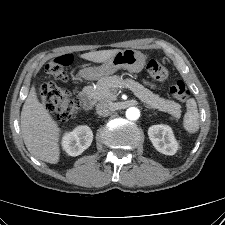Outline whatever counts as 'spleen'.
Returning a JSON list of instances; mask_svg holds the SVG:
<instances>
[{
    "instance_id": "obj_1",
    "label": "spleen",
    "mask_w": 225,
    "mask_h": 225,
    "mask_svg": "<svg viewBox=\"0 0 225 225\" xmlns=\"http://www.w3.org/2000/svg\"><path fill=\"white\" fill-rule=\"evenodd\" d=\"M187 111L183 118V127L189 133H195L199 129V113L195 99L186 102Z\"/></svg>"
}]
</instances>
